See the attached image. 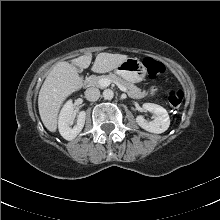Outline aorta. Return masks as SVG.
<instances>
[{
  "mask_svg": "<svg viewBox=\"0 0 220 220\" xmlns=\"http://www.w3.org/2000/svg\"><path fill=\"white\" fill-rule=\"evenodd\" d=\"M103 97L106 100H111L114 97V92L111 89H106L103 91Z\"/></svg>",
  "mask_w": 220,
  "mask_h": 220,
  "instance_id": "aorta-1",
  "label": "aorta"
}]
</instances>
